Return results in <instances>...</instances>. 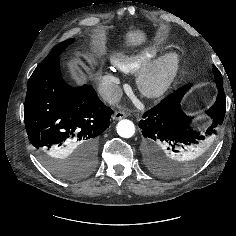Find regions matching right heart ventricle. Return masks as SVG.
Listing matches in <instances>:
<instances>
[{"instance_id":"obj_1","label":"right heart ventricle","mask_w":236,"mask_h":236,"mask_svg":"<svg viewBox=\"0 0 236 236\" xmlns=\"http://www.w3.org/2000/svg\"><path fill=\"white\" fill-rule=\"evenodd\" d=\"M161 49V45L155 44L133 52L117 53L112 57V63L121 71L134 72L149 64Z\"/></svg>"}]
</instances>
